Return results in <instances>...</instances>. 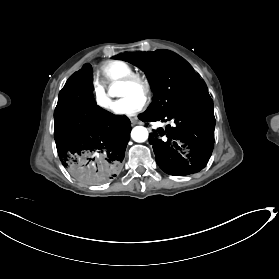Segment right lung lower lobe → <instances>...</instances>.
Masks as SVG:
<instances>
[{
  "label": "right lung lower lobe",
  "instance_id": "right-lung-lower-lobe-1",
  "mask_svg": "<svg viewBox=\"0 0 279 279\" xmlns=\"http://www.w3.org/2000/svg\"><path fill=\"white\" fill-rule=\"evenodd\" d=\"M93 70L84 64L59 93L54 136L62 165L79 181L99 185L121 172L130 121L99 107L93 99Z\"/></svg>",
  "mask_w": 279,
  "mask_h": 279
}]
</instances>
